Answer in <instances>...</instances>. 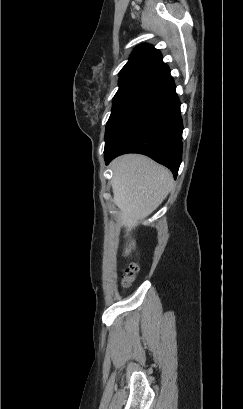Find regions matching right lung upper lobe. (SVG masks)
I'll list each match as a JSON object with an SVG mask.
<instances>
[{"mask_svg":"<svg viewBox=\"0 0 243 409\" xmlns=\"http://www.w3.org/2000/svg\"><path fill=\"white\" fill-rule=\"evenodd\" d=\"M170 76L169 67L162 61L159 50L151 45H139L119 73V82L134 78H153L163 81Z\"/></svg>","mask_w":243,"mask_h":409,"instance_id":"1","label":"right lung upper lobe"}]
</instances>
